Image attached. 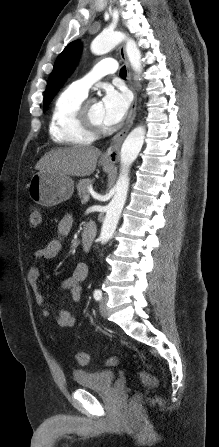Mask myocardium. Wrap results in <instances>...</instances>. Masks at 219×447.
Wrapping results in <instances>:
<instances>
[{"mask_svg": "<svg viewBox=\"0 0 219 447\" xmlns=\"http://www.w3.org/2000/svg\"><path fill=\"white\" fill-rule=\"evenodd\" d=\"M90 100L84 99L77 109V121L79 126L92 135H100L105 131L103 124L96 123L90 113Z\"/></svg>", "mask_w": 219, "mask_h": 447, "instance_id": "1", "label": "myocardium"}]
</instances>
